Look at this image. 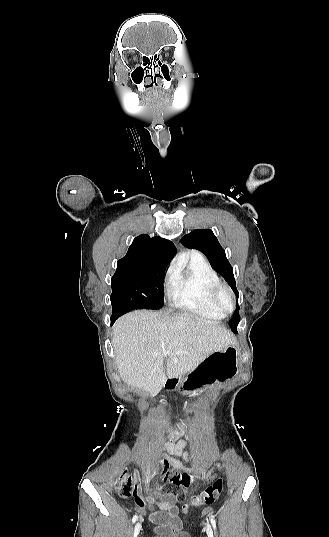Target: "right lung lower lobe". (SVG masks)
Listing matches in <instances>:
<instances>
[{"label": "right lung lower lobe", "mask_w": 329, "mask_h": 537, "mask_svg": "<svg viewBox=\"0 0 329 537\" xmlns=\"http://www.w3.org/2000/svg\"><path fill=\"white\" fill-rule=\"evenodd\" d=\"M114 321H115L114 319H111V324H113V323H114Z\"/></svg>", "instance_id": "98d812e1"}]
</instances>
